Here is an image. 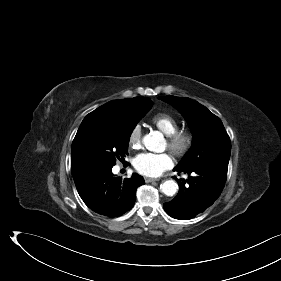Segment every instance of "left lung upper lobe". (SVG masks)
<instances>
[{
	"label": "left lung upper lobe",
	"mask_w": 281,
	"mask_h": 281,
	"mask_svg": "<svg viewBox=\"0 0 281 281\" xmlns=\"http://www.w3.org/2000/svg\"><path fill=\"white\" fill-rule=\"evenodd\" d=\"M177 108L187 120L193 144L177 167L192 168L205 163L228 165L231 141L221 120L205 106L184 97H159Z\"/></svg>",
	"instance_id": "left-lung-upper-lobe-1"
}]
</instances>
